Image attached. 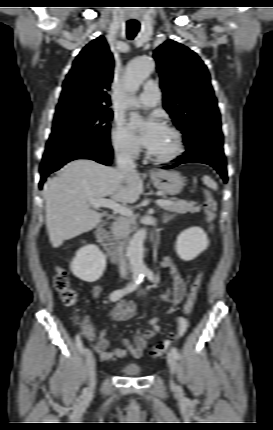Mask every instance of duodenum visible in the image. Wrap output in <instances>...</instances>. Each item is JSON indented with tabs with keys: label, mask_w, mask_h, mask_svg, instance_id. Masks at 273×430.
Listing matches in <instances>:
<instances>
[{
	"label": "duodenum",
	"mask_w": 273,
	"mask_h": 430,
	"mask_svg": "<svg viewBox=\"0 0 273 430\" xmlns=\"http://www.w3.org/2000/svg\"><path fill=\"white\" fill-rule=\"evenodd\" d=\"M97 239L98 242L104 247L107 251L110 258L117 262L119 260V250L117 245L111 240L107 230L104 227V224H101L97 229Z\"/></svg>",
	"instance_id": "obj_1"
}]
</instances>
